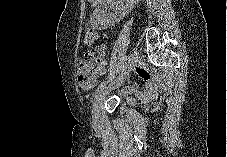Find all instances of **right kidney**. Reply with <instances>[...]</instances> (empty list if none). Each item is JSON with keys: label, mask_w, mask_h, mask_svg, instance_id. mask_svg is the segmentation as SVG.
I'll list each match as a JSON object with an SVG mask.
<instances>
[{"label": "right kidney", "mask_w": 227, "mask_h": 157, "mask_svg": "<svg viewBox=\"0 0 227 157\" xmlns=\"http://www.w3.org/2000/svg\"><path fill=\"white\" fill-rule=\"evenodd\" d=\"M120 2V1H119ZM119 12H115V14L107 13L106 7L104 6H98L94 11V16L97 18V24L100 27L107 26V25H113L116 21H119L122 19L126 11L124 8H119Z\"/></svg>", "instance_id": "right-kidney-1"}]
</instances>
